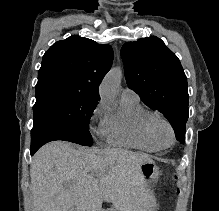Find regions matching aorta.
<instances>
[{"label": "aorta", "instance_id": "1", "mask_svg": "<svg viewBox=\"0 0 219 211\" xmlns=\"http://www.w3.org/2000/svg\"><path fill=\"white\" fill-rule=\"evenodd\" d=\"M122 78L120 67L112 68L103 79L100 85V95L103 99L112 101L119 89Z\"/></svg>", "mask_w": 219, "mask_h": 211}]
</instances>
